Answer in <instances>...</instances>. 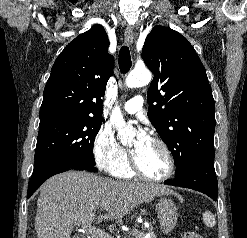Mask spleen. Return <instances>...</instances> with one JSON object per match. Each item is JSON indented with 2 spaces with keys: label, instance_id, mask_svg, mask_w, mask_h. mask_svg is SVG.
Returning <instances> with one entry per match:
<instances>
[{
  "label": "spleen",
  "instance_id": "obj_1",
  "mask_svg": "<svg viewBox=\"0 0 247 238\" xmlns=\"http://www.w3.org/2000/svg\"><path fill=\"white\" fill-rule=\"evenodd\" d=\"M203 221L207 227H214L216 224V219L210 211L203 214Z\"/></svg>",
  "mask_w": 247,
  "mask_h": 238
}]
</instances>
